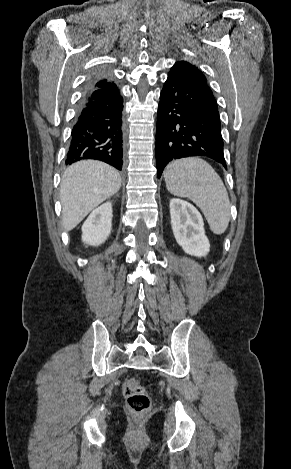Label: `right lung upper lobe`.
Wrapping results in <instances>:
<instances>
[{
	"label": "right lung upper lobe",
	"mask_w": 291,
	"mask_h": 469,
	"mask_svg": "<svg viewBox=\"0 0 291 469\" xmlns=\"http://www.w3.org/2000/svg\"><path fill=\"white\" fill-rule=\"evenodd\" d=\"M107 86H115V84L113 82H110L109 80H107L106 77L104 76H97L95 78V82L93 84V87L94 88H102V87H107Z\"/></svg>",
	"instance_id": "obj_1"
}]
</instances>
